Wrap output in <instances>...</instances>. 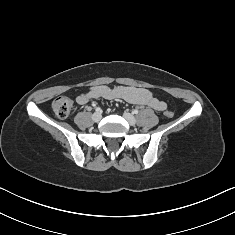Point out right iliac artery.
Returning a JSON list of instances; mask_svg holds the SVG:
<instances>
[{"mask_svg":"<svg viewBox=\"0 0 235 235\" xmlns=\"http://www.w3.org/2000/svg\"><path fill=\"white\" fill-rule=\"evenodd\" d=\"M96 112H101V108L97 107L96 109Z\"/></svg>","mask_w":235,"mask_h":235,"instance_id":"right-iliac-artery-1","label":"right iliac artery"}]
</instances>
